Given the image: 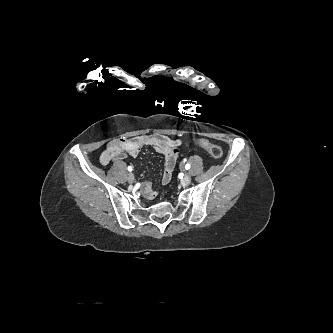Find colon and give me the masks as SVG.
Wrapping results in <instances>:
<instances>
[{
	"instance_id": "obj_1",
	"label": "colon",
	"mask_w": 333,
	"mask_h": 333,
	"mask_svg": "<svg viewBox=\"0 0 333 333\" xmlns=\"http://www.w3.org/2000/svg\"><path fill=\"white\" fill-rule=\"evenodd\" d=\"M197 145L206 150L213 158L219 159L223 155L222 148L216 144H213L205 139H198L195 141Z\"/></svg>"
}]
</instances>
